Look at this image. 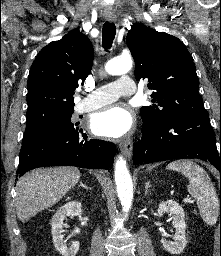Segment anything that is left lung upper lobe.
Instances as JSON below:
<instances>
[{"label": "left lung upper lobe", "instance_id": "1", "mask_svg": "<svg viewBox=\"0 0 221 256\" xmlns=\"http://www.w3.org/2000/svg\"><path fill=\"white\" fill-rule=\"evenodd\" d=\"M135 60V78L153 89L152 106L141 107L143 122L161 124L175 115L200 116L208 112L198 92L193 59L184 44L165 32L133 25L126 38Z\"/></svg>", "mask_w": 221, "mask_h": 256}]
</instances>
